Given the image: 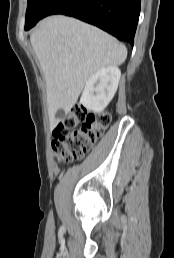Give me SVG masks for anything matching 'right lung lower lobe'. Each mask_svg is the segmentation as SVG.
<instances>
[{"label": "right lung lower lobe", "mask_w": 174, "mask_h": 258, "mask_svg": "<svg viewBox=\"0 0 174 258\" xmlns=\"http://www.w3.org/2000/svg\"><path fill=\"white\" fill-rule=\"evenodd\" d=\"M140 8L141 0H55L44 12V17L72 16L133 45Z\"/></svg>", "instance_id": "1"}]
</instances>
